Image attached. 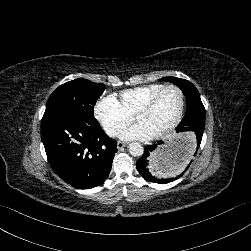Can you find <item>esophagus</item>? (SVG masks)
I'll return each instance as SVG.
<instances>
[{
  "mask_svg": "<svg viewBox=\"0 0 251 251\" xmlns=\"http://www.w3.org/2000/svg\"><path fill=\"white\" fill-rule=\"evenodd\" d=\"M125 146H126V143H125V142L118 141V143H117V149H118V150H121V149L124 148Z\"/></svg>",
  "mask_w": 251,
  "mask_h": 251,
  "instance_id": "obj_1",
  "label": "esophagus"
}]
</instances>
